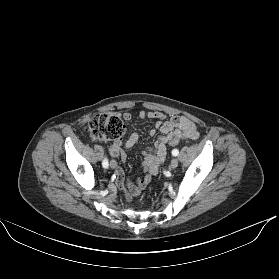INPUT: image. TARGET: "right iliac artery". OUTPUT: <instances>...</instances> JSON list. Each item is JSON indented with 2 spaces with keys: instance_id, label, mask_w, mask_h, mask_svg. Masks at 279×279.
<instances>
[{
  "instance_id": "right-iliac-artery-1",
  "label": "right iliac artery",
  "mask_w": 279,
  "mask_h": 279,
  "mask_svg": "<svg viewBox=\"0 0 279 279\" xmlns=\"http://www.w3.org/2000/svg\"><path fill=\"white\" fill-rule=\"evenodd\" d=\"M108 160H107V158H105L104 160H103V162H102V166L104 167V168H107L108 167Z\"/></svg>"
}]
</instances>
